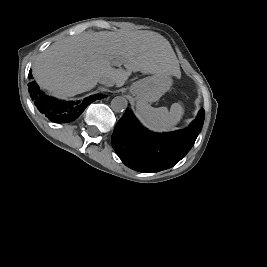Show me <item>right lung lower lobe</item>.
<instances>
[{"label":"right lung lower lobe","mask_w":267,"mask_h":267,"mask_svg":"<svg viewBox=\"0 0 267 267\" xmlns=\"http://www.w3.org/2000/svg\"><path fill=\"white\" fill-rule=\"evenodd\" d=\"M32 77L31 71L29 78ZM29 93L37 109L49 120L57 123H67L78 118L85 108L92 102L104 98L101 95H93L82 102H66L45 95L35 81L28 84Z\"/></svg>","instance_id":"1"}]
</instances>
